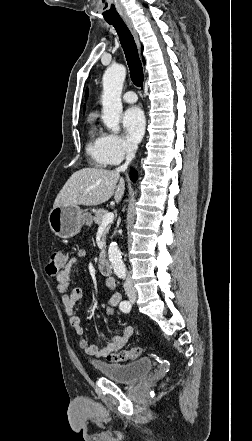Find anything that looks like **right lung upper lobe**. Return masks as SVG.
Wrapping results in <instances>:
<instances>
[{
	"instance_id": "1",
	"label": "right lung upper lobe",
	"mask_w": 252,
	"mask_h": 441,
	"mask_svg": "<svg viewBox=\"0 0 252 441\" xmlns=\"http://www.w3.org/2000/svg\"><path fill=\"white\" fill-rule=\"evenodd\" d=\"M143 61H144V58H143ZM87 96H88V89L86 90L85 98H87Z\"/></svg>"
}]
</instances>
